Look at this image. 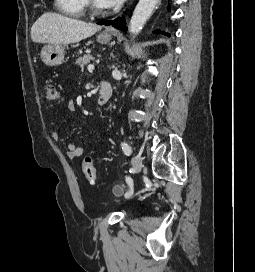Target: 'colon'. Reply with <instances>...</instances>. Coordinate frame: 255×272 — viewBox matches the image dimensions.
Segmentation results:
<instances>
[{
    "label": "colon",
    "mask_w": 255,
    "mask_h": 272,
    "mask_svg": "<svg viewBox=\"0 0 255 272\" xmlns=\"http://www.w3.org/2000/svg\"><path fill=\"white\" fill-rule=\"evenodd\" d=\"M44 97L47 101H55L58 99V91L53 84L46 83L44 85ZM82 171L89 182H94L96 180V170L91 157H86L83 160ZM116 191L119 192L120 188H117Z\"/></svg>",
    "instance_id": "colon-1"
}]
</instances>
